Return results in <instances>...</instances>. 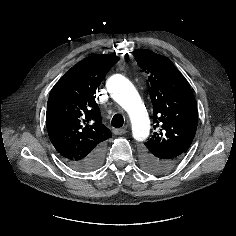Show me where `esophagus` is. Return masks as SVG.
Here are the masks:
<instances>
[{"mask_svg":"<svg viewBox=\"0 0 236 236\" xmlns=\"http://www.w3.org/2000/svg\"><path fill=\"white\" fill-rule=\"evenodd\" d=\"M114 134L115 135H123V134H125L126 132H127V130L126 129H114Z\"/></svg>","mask_w":236,"mask_h":236,"instance_id":"esophagus-1","label":"esophagus"}]
</instances>
